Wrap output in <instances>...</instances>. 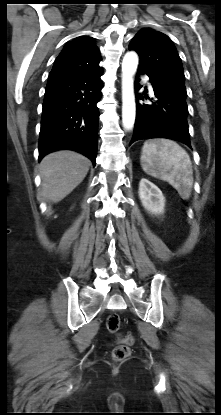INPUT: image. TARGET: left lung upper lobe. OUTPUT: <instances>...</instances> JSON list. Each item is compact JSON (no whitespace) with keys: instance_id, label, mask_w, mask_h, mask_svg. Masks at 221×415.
Returning <instances> with one entry per match:
<instances>
[{"instance_id":"5c2ea615","label":"left lung upper lobe","mask_w":221,"mask_h":415,"mask_svg":"<svg viewBox=\"0 0 221 415\" xmlns=\"http://www.w3.org/2000/svg\"><path fill=\"white\" fill-rule=\"evenodd\" d=\"M129 50H135L140 57L138 72L148 75L157 85L186 94L182 62L167 35L143 28L131 40Z\"/></svg>"}]
</instances>
